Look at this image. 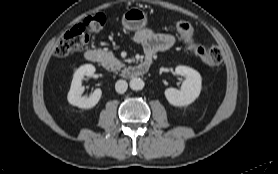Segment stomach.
Instances as JSON below:
<instances>
[{"label":"stomach","instance_id":"1","mask_svg":"<svg viewBox=\"0 0 278 174\" xmlns=\"http://www.w3.org/2000/svg\"><path fill=\"white\" fill-rule=\"evenodd\" d=\"M122 25L130 31H137L147 25V13L137 7L127 9L122 16Z\"/></svg>","mask_w":278,"mask_h":174}]
</instances>
